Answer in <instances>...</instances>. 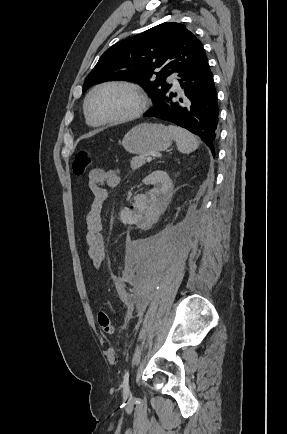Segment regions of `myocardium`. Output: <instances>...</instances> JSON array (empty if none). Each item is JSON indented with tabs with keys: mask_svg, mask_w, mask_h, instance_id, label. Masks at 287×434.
Returning <instances> with one entry per match:
<instances>
[{
	"mask_svg": "<svg viewBox=\"0 0 287 434\" xmlns=\"http://www.w3.org/2000/svg\"><path fill=\"white\" fill-rule=\"evenodd\" d=\"M107 86H120V87H124V88L132 91L137 96L138 101H139L136 109L132 113H130L124 117H120V118H116V119H105V120L96 119L90 112V108H89L90 100L96 91H98L101 88L107 87ZM148 106H149L148 96H147L146 92L144 91V89L140 85H138L134 82L125 81V80H107V81H103V82L95 85L88 92V94L85 98V101H84V112H85L87 119L94 125H98V126H101V125H118V124L130 122V121H133V120L139 118L141 115H143L146 112Z\"/></svg>",
	"mask_w": 287,
	"mask_h": 434,
	"instance_id": "obj_1",
	"label": "myocardium"
}]
</instances>
